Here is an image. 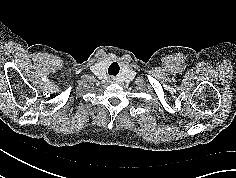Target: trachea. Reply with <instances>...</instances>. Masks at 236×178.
I'll return each instance as SVG.
<instances>
[{
  "label": "trachea",
  "instance_id": "1",
  "mask_svg": "<svg viewBox=\"0 0 236 178\" xmlns=\"http://www.w3.org/2000/svg\"><path fill=\"white\" fill-rule=\"evenodd\" d=\"M112 66H115V63L111 64V66L109 67L108 72H109V74L115 76V75L118 73V69H117V67L115 66V69H113V71L111 72L110 68H111Z\"/></svg>",
  "mask_w": 236,
  "mask_h": 178
}]
</instances>
